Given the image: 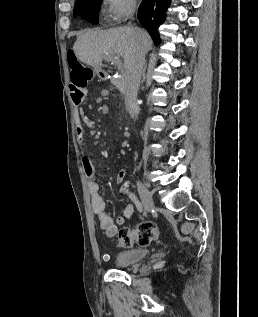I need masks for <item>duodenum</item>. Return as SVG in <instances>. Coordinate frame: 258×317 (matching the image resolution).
I'll use <instances>...</instances> for the list:
<instances>
[{"mask_svg": "<svg viewBox=\"0 0 258 317\" xmlns=\"http://www.w3.org/2000/svg\"><path fill=\"white\" fill-rule=\"evenodd\" d=\"M69 88L73 104L79 106L86 98V86L76 80H71Z\"/></svg>", "mask_w": 258, "mask_h": 317, "instance_id": "410a0bca", "label": "duodenum"}]
</instances>
